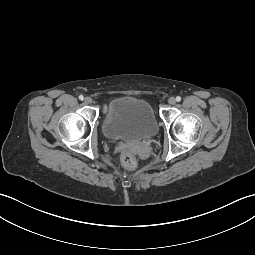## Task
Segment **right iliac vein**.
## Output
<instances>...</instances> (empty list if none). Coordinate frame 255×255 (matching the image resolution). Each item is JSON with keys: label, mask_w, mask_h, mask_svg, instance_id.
Listing matches in <instances>:
<instances>
[{"label": "right iliac vein", "mask_w": 255, "mask_h": 255, "mask_svg": "<svg viewBox=\"0 0 255 255\" xmlns=\"http://www.w3.org/2000/svg\"><path fill=\"white\" fill-rule=\"evenodd\" d=\"M84 102H85L86 104H91V103H92V98H91V97H85V98H84Z\"/></svg>", "instance_id": "63e3f726"}]
</instances>
